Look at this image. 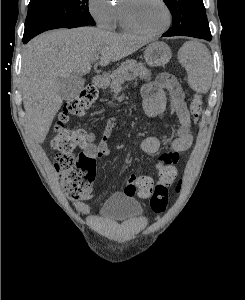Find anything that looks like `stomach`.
Wrapping results in <instances>:
<instances>
[{"label": "stomach", "instance_id": "stomach-1", "mask_svg": "<svg viewBox=\"0 0 245 300\" xmlns=\"http://www.w3.org/2000/svg\"><path fill=\"white\" fill-rule=\"evenodd\" d=\"M172 56L171 49L164 42L149 44L144 52V58L148 65L158 67L167 64Z\"/></svg>", "mask_w": 245, "mask_h": 300}]
</instances>
